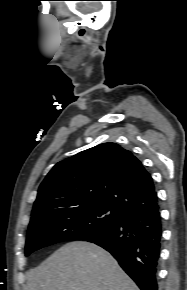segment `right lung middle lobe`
Instances as JSON below:
<instances>
[{"label":"right lung middle lobe","mask_w":187,"mask_h":290,"mask_svg":"<svg viewBox=\"0 0 187 290\" xmlns=\"http://www.w3.org/2000/svg\"><path fill=\"white\" fill-rule=\"evenodd\" d=\"M123 215L106 205L60 211L29 225L25 255L58 242L80 240L116 225Z\"/></svg>","instance_id":"right-lung-middle-lobe-1"}]
</instances>
